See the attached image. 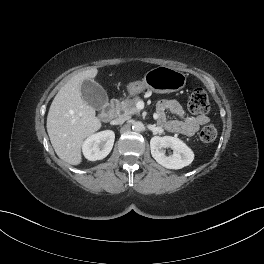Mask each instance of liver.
<instances>
[{
    "instance_id": "liver-1",
    "label": "liver",
    "mask_w": 264,
    "mask_h": 264,
    "mask_svg": "<svg viewBox=\"0 0 264 264\" xmlns=\"http://www.w3.org/2000/svg\"><path fill=\"white\" fill-rule=\"evenodd\" d=\"M96 68L73 76L52 101L47 116V132L58 157L71 165L82 161L83 140L101 128L95 109L87 104L81 94L84 80L95 78Z\"/></svg>"
}]
</instances>
